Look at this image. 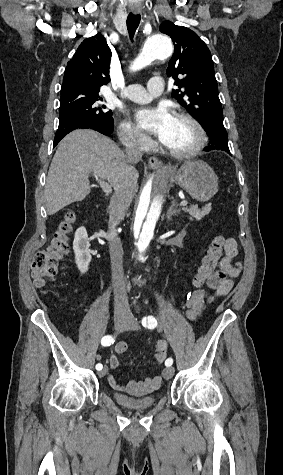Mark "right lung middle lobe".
Masks as SVG:
<instances>
[{"label": "right lung middle lobe", "mask_w": 283, "mask_h": 475, "mask_svg": "<svg viewBox=\"0 0 283 475\" xmlns=\"http://www.w3.org/2000/svg\"><path fill=\"white\" fill-rule=\"evenodd\" d=\"M103 99L98 93H64L61 94L59 118L69 115H84L96 122L113 124L112 111L100 105Z\"/></svg>", "instance_id": "obj_1"}]
</instances>
